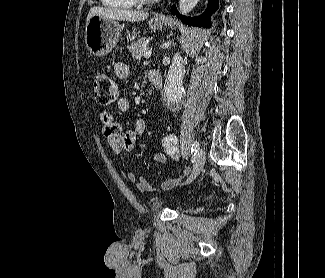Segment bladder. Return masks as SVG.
<instances>
[{
	"label": "bladder",
	"instance_id": "31cf9c89",
	"mask_svg": "<svg viewBox=\"0 0 325 278\" xmlns=\"http://www.w3.org/2000/svg\"><path fill=\"white\" fill-rule=\"evenodd\" d=\"M166 202V199L162 196H154L150 199V204L154 208L162 207Z\"/></svg>",
	"mask_w": 325,
	"mask_h": 278
}]
</instances>
